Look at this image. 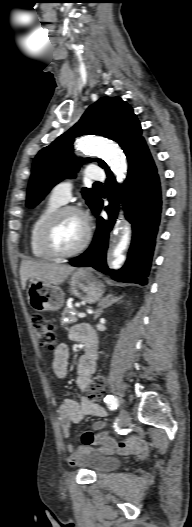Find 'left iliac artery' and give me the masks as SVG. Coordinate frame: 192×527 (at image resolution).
<instances>
[{
	"mask_svg": "<svg viewBox=\"0 0 192 527\" xmlns=\"http://www.w3.org/2000/svg\"><path fill=\"white\" fill-rule=\"evenodd\" d=\"M105 402L107 403L110 410H116L119 406L117 397L110 394L105 397Z\"/></svg>",
	"mask_w": 192,
	"mask_h": 527,
	"instance_id": "left-iliac-artery-1",
	"label": "left iliac artery"
}]
</instances>
